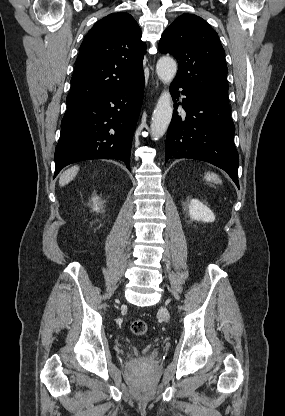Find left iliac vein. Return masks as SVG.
<instances>
[{"label": "left iliac vein", "instance_id": "left-iliac-vein-1", "mask_svg": "<svg viewBox=\"0 0 285 416\" xmlns=\"http://www.w3.org/2000/svg\"><path fill=\"white\" fill-rule=\"evenodd\" d=\"M161 314L167 321L170 320V315L166 307L161 308Z\"/></svg>", "mask_w": 285, "mask_h": 416}]
</instances>
